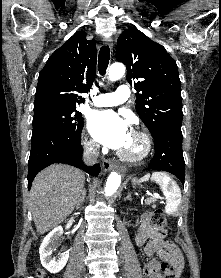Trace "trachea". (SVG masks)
Listing matches in <instances>:
<instances>
[{"mask_svg": "<svg viewBox=\"0 0 221 278\" xmlns=\"http://www.w3.org/2000/svg\"><path fill=\"white\" fill-rule=\"evenodd\" d=\"M110 59V48L107 45L101 47L98 56L99 73L104 76Z\"/></svg>", "mask_w": 221, "mask_h": 278, "instance_id": "obj_1", "label": "trachea"}]
</instances>
